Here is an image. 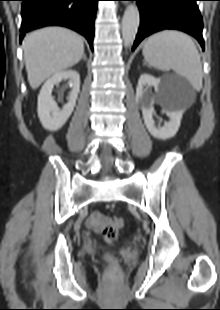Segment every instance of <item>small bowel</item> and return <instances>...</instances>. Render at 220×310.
<instances>
[{"mask_svg":"<svg viewBox=\"0 0 220 310\" xmlns=\"http://www.w3.org/2000/svg\"><path fill=\"white\" fill-rule=\"evenodd\" d=\"M108 217L104 216L98 211H94L90 214V216L87 219V225L90 228H93L95 230L101 229L104 224L107 222Z\"/></svg>","mask_w":220,"mask_h":310,"instance_id":"small-bowel-1","label":"small bowel"}]
</instances>
